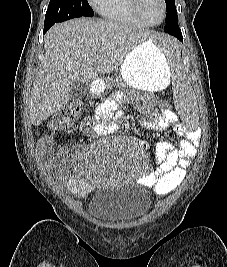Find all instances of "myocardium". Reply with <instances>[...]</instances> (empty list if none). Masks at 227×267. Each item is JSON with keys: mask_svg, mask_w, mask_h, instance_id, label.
Listing matches in <instances>:
<instances>
[{"mask_svg": "<svg viewBox=\"0 0 227 267\" xmlns=\"http://www.w3.org/2000/svg\"><path fill=\"white\" fill-rule=\"evenodd\" d=\"M131 1V7L132 10L134 12V14L146 25L148 26H156L161 24L164 19L166 18L167 15V4H166V0H160L161 4H162V18L160 19V21L156 22V23H151L149 21H147V19L145 18V16L143 15L142 11H141V0H130Z\"/></svg>", "mask_w": 227, "mask_h": 267, "instance_id": "f54148a6", "label": "myocardium"}]
</instances>
